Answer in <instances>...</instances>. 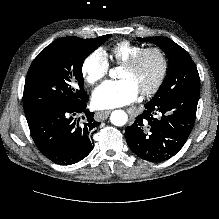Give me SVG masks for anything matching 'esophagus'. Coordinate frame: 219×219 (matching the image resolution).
Segmentation results:
<instances>
[{
    "label": "esophagus",
    "instance_id": "obj_1",
    "mask_svg": "<svg viewBox=\"0 0 219 219\" xmlns=\"http://www.w3.org/2000/svg\"><path fill=\"white\" fill-rule=\"evenodd\" d=\"M111 113V110H104V111H99L96 115V119L97 120H106L109 116V114Z\"/></svg>",
    "mask_w": 219,
    "mask_h": 219
}]
</instances>
